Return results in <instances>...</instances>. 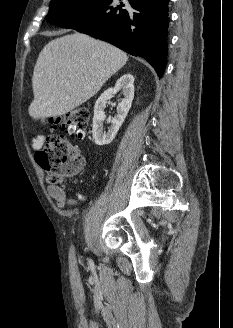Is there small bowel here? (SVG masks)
<instances>
[{"mask_svg":"<svg viewBox=\"0 0 233 328\" xmlns=\"http://www.w3.org/2000/svg\"><path fill=\"white\" fill-rule=\"evenodd\" d=\"M44 141L43 136L37 137L33 141V147L39 148ZM49 195L52 199H54L58 205L59 208L63 209L68 204H73L75 201L72 199H68L66 196V193L63 188L57 187V186H51L48 189Z\"/></svg>","mask_w":233,"mask_h":328,"instance_id":"small-bowel-1","label":"small bowel"}]
</instances>
